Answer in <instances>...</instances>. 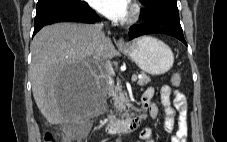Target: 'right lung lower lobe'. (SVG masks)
<instances>
[{"instance_id":"right-lung-lower-lobe-1","label":"right lung lower lobe","mask_w":227,"mask_h":142,"mask_svg":"<svg viewBox=\"0 0 227 142\" xmlns=\"http://www.w3.org/2000/svg\"><path fill=\"white\" fill-rule=\"evenodd\" d=\"M61 21L94 23L96 21H100V18L86 2L77 6L55 7L45 10H39L36 13L34 21L33 35H35L45 25Z\"/></svg>"}]
</instances>
